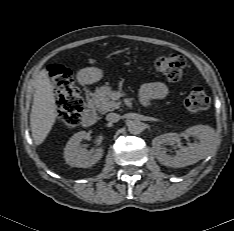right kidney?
I'll use <instances>...</instances> for the list:
<instances>
[{
  "mask_svg": "<svg viewBox=\"0 0 234 231\" xmlns=\"http://www.w3.org/2000/svg\"><path fill=\"white\" fill-rule=\"evenodd\" d=\"M85 131L74 134L64 148V158L72 167L87 168L97 163L103 156V148L99 147L91 151L80 147V142L88 139Z\"/></svg>",
  "mask_w": 234,
  "mask_h": 231,
  "instance_id": "ca27d5eb",
  "label": "right kidney"
}]
</instances>
